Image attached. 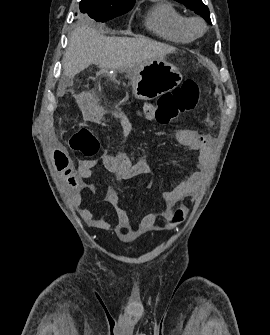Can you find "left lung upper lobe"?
Returning a JSON list of instances; mask_svg holds the SVG:
<instances>
[{"instance_id":"1","label":"left lung upper lobe","mask_w":270,"mask_h":335,"mask_svg":"<svg viewBox=\"0 0 270 335\" xmlns=\"http://www.w3.org/2000/svg\"><path fill=\"white\" fill-rule=\"evenodd\" d=\"M180 2L201 15L209 24H211L209 9L201 0H175Z\"/></svg>"}]
</instances>
